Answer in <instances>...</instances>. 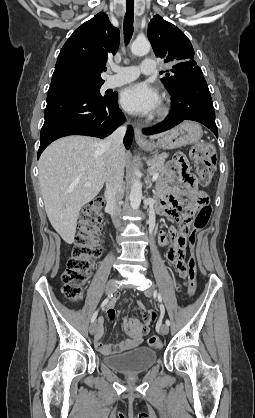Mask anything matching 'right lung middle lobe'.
<instances>
[{"label": "right lung middle lobe", "instance_id": "dd1d6c3e", "mask_svg": "<svg viewBox=\"0 0 255 418\" xmlns=\"http://www.w3.org/2000/svg\"><path fill=\"white\" fill-rule=\"evenodd\" d=\"M102 84L103 83H74V84L50 87L49 91L74 90V91H87L90 93L101 95L99 93V90Z\"/></svg>", "mask_w": 255, "mask_h": 418}]
</instances>
